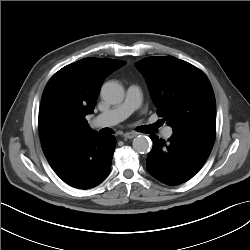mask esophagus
<instances>
[{
	"instance_id": "esophagus-1",
	"label": "esophagus",
	"mask_w": 250,
	"mask_h": 250,
	"mask_svg": "<svg viewBox=\"0 0 250 250\" xmlns=\"http://www.w3.org/2000/svg\"><path fill=\"white\" fill-rule=\"evenodd\" d=\"M136 133H134V132H126L125 134H124V138H126V139H132V138H134V137H136Z\"/></svg>"
}]
</instances>
